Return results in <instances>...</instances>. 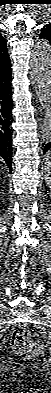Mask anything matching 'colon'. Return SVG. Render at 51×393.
I'll return each mask as SVG.
<instances>
[{"label":"colon","mask_w":51,"mask_h":393,"mask_svg":"<svg viewBox=\"0 0 51 393\" xmlns=\"http://www.w3.org/2000/svg\"><path fill=\"white\" fill-rule=\"evenodd\" d=\"M11 348L23 359L38 358L44 353V347L32 341L28 328L23 325L13 329Z\"/></svg>","instance_id":"1"}]
</instances>
